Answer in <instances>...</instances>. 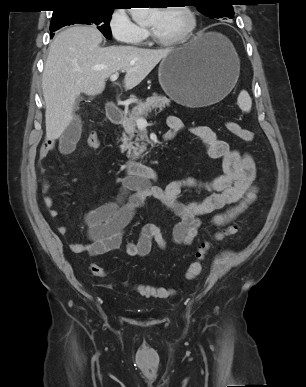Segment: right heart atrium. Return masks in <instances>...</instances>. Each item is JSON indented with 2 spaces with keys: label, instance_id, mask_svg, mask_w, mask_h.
I'll return each mask as SVG.
<instances>
[{
  "label": "right heart atrium",
  "instance_id": "1",
  "mask_svg": "<svg viewBox=\"0 0 306 387\" xmlns=\"http://www.w3.org/2000/svg\"><path fill=\"white\" fill-rule=\"evenodd\" d=\"M108 27L112 37L121 44L137 45L147 37L146 29L134 22L125 8L112 11Z\"/></svg>",
  "mask_w": 306,
  "mask_h": 387
}]
</instances>
